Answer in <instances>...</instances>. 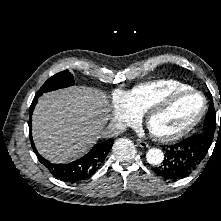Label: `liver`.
<instances>
[{
  "label": "liver",
  "instance_id": "obj_1",
  "mask_svg": "<svg viewBox=\"0 0 221 221\" xmlns=\"http://www.w3.org/2000/svg\"><path fill=\"white\" fill-rule=\"evenodd\" d=\"M106 94L75 86L45 93L32 116V134L39 153L52 163L83 156L100 138L108 117Z\"/></svg>",
  "mask_w": 221,
  "mask_h": 221
}]
</instances>
